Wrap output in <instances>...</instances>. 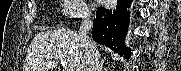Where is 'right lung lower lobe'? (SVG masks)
<instances>
[{
  "label": "right lung lower lobe",
  "instance_id": "right-lung-lower-lobe-1",
  "mask_svg": "<svg viewBox=\"0 0 181 71\" xmlns=\"http://www.w3.org/2000/svg\"><path fill=\"white\" fill-rule=\"evenodd\" d=\"M130 2L131 0H118L114 10L98 8L92 29V37L96 42L106 45L126 59L131 56L130 48L124 44L129 25V12L126 8Z\"/></svg>",
  "mask_w": 181,
  "mask_h": 71
}]
</instances>
